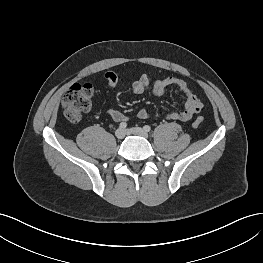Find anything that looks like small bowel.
<instances>
[{
  "label": "small bowel",
  "mask_w": 263,
  "mask_h": 263,
  "mask_svg": "<svg viewBox=\"0 0 263 263\" xmlns=\"http://www.w3.org/2000/svg\"><path fill=\"white\" fill-rule=\"evenodd\" d=\"M105 80L110 87H116L121 83L116 73L108 71L105 74ZM170 86L177 87L186 97V103L181 111H172L166 115L171 121H187L200 112L202 108L201 100L194 94L188 83L178 77L168 76L162 79L152 80L148 75H143L133 82L132 89L136 94H143L150 91L152 95L160 97ZM106 114L115 122H126L129 117L123 112L115 109L107 110ZM136 116L139 119L146 120L150 117V113L146 109H140Z\"/></svg>",
  "instance_id": "c3829d8e"
}]
</instances>
